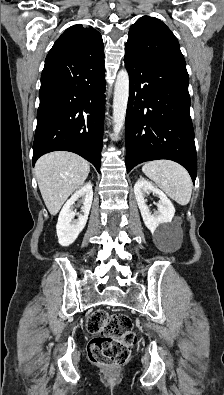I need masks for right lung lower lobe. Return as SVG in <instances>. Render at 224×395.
I'll return each mask as SVG.
<instances>
[{
	"instance_id": "obj_1",
	"label": "right lung lower lobe",
	"mask_w": 224,
	"mask_h": 395,
	"mask_svg": "<svg viewBox=\"0 0 224 395\" xmlns=\"http://www.w3.org/2000/svg\"><path fill=\"white\" fill-rule=\"evenodd\" d=\"M104 56H79L64 45L48 53L41 75L33 165L45 153L71 151L100 172L105 110Z\"/></svg>"
}]
</instances>
